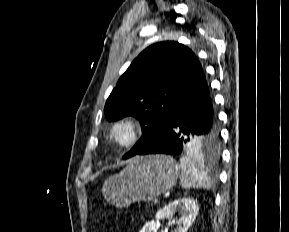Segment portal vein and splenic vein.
<instances>
[{
  "label": "portal vein and splenic vein",
  "mask_w": 289,
  "mask_h": 232,
  "mask_svg": "<svg viewBox=\"0 0 289 232\" xmlns=\"http://www.w3.org/2000/svg\"><path fill=\"white\" fill-rule=\"evenodd\" d=\"M153 202H154V204H157V203H158V199L155 198V199L153 200Z\"/></svg>",
  "instance_id": "portal-vein-and-splenic-vein-1"
}]
</instances>
